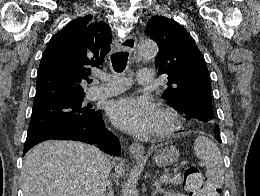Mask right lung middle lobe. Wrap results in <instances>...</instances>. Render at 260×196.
<instances>
[{"instance_id": "obj_1", "label": "right lung middle lobe", "mask_w": 260, "mask_h": 196, "mask_svg": "<svg viewBox=\"0 0 260 196\" xmlns=\"http://www.w3.org/2000/svg\"><path fill=\"white\" fill-rule=\"evenodd\" d=\"M84 95L61 96L33 105L26 141L48 133L73 128L92 120L95 117V111L82 106Z\"/></svg>"}]
</instances>
